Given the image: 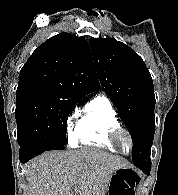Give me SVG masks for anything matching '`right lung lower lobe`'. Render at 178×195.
Masks as SVG:
<instances>
[{"instance_id": "1", "label": "right lung lower lobe", "mask_w": 178, "mask_h": 195, "mask_svg": "<svg viewBox=\"0 0 178 195\" xmlns=\"http://www.w3.org/2000/svg\"><path fill=\"white\" fill-rule=\"evenodd\" d=\"M65 149L64 146H50V147H28L20 148V161L25 163L32 159L33 157L43 153L48 150H62Z\"/></svg>"}]
</instances>
